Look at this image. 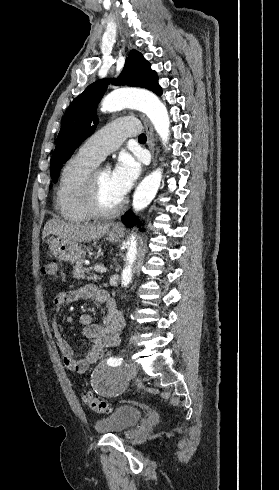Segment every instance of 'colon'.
Instances as JSON below:
<instances>
[{"label":"colon","instance_id":"1","mask_svg":"<svg viewBox=\"0 0 279 490\" xmlns=\"http://www.w3.org/2000/svg\"><path fill=\"white\" fill-rule=\"evenodd\" d=\"M58 272L59 262L57 260L47 262L42 268V273L45 276L57 277ZM82 397L86 406L94 412L103 414L108 413L111 410V405L109 402L103 399H98L91 393H84Z\"/></svg>","mask_w":279,"mask_h":490}]
</instances>
